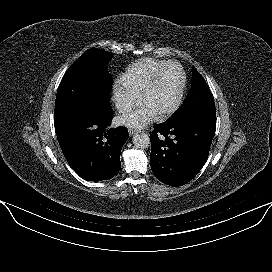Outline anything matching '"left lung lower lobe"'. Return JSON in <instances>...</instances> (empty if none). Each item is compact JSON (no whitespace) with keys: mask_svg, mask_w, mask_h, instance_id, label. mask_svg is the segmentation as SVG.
Segmentation results:
<instances>
[{"mask_svg":"<svg viewBox=\"0 0 272 272\" xmlns=\"http://www.w3.org/2000/svg\"><path fill=\"white\" fill-rule=\"evenodd\" d=\"M150 164L162 183L177 187L204 166L216 130V111L194 113L154 126Z\"/></svg>","mask_w":272,"mask_h":272,"instance_id":"1","label":"left lung lower lobe"}]
</instances>
